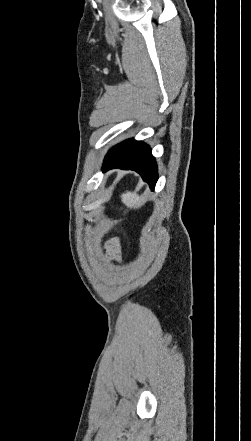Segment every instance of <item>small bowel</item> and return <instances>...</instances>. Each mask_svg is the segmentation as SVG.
Here are the masks:
<instances>
[{
  "label": "small bowel",
  "instance_id": "small-bowel-1",
  "mask_svg": "<svg viewBox=\"0 0 251 441\" xmlns=\"http://www.w3.org/2000/svg\"><path fill=\"white\" fill-rule=\"evenodd\" d=\"M111 245H112L113 248H116L117 245H118V241H117V240H113V241L111 242Z\"/></svg>",
  "mask_w": 251,
  "mask_h": 441
}]
</instances>
